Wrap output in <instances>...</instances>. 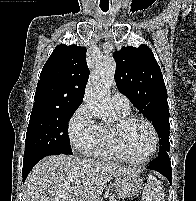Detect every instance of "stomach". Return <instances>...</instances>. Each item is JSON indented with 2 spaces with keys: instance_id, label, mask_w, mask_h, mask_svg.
<instances>
[{
  "instance_id": "obj_1",
  "label": "stomach",
  "mask_w": 196,
  "mask_h": 201,
  "mask_svg": "<svg viewBox=\"0 0 196 201\" xmlns=\"http://www.w3.org/2000/svg\"><path fill=\"white\" fill-rule=\"evenodd\" d=\"M143 180L137 174L124 173L116 178L115 191L122 198H130L141 190Z\"/></svg>"
}]
</instances>
